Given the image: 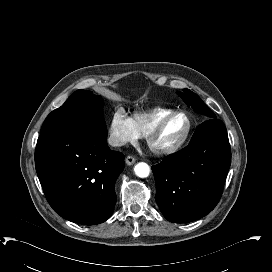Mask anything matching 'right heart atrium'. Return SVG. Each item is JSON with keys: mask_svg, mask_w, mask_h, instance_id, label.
Instances as JSON below:
<instances>
[{"mask_svg": "<svg viewBox=\"0 0 272 272\" xmlns=\"http://www.w3.org/2000/svg\"><path fill=\"white\" fill-rule=\"evenodd\" d=\"M109 140L114 146H123L134 142L139 137V131L132 117L119 109L111 116L109 126Z\"/></svg>", "mask_w": 272, "mask_h": 272, "instance_id": "obj_1", "label": "right heart atrium"}]
</instances>
